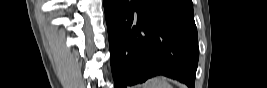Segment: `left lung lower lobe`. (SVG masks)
Segmentation results:
<instances>
[{
	"label": "left lung lower lobe",
	"mask_w": 267,
	"mask_h": 88,
	"mask_svg": "<svg viewBox=\"0 0 267 88\" xmlns=\"http://www.w3.org/2000/svg\"><path fill=\"white\" fill-rule=\"evenodd\" d=\"M115 88L155 75L194 88L198 62L193 6L178 0H104Z\"/></svg>",
	"instance_id": "left-lung-lower-lobe-1"
}]
</instances>
